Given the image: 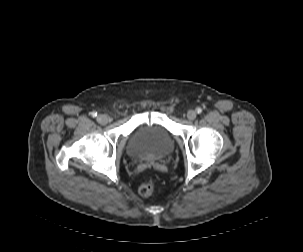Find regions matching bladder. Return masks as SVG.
<instances>
[{
  "mask_svg": "<svg viewBox=\"0 0 303 252\" xmlns=\"http://www.w3.org/2000/svg\"><path fill=\"white\" fill-rule=\"evenodd\" d=\"M172 135L162 126L146 125L134 132L126 145L128 156L150 161L168 156L174 150Z\"/></svg>",
  "mask_w": 303,
  "mask_h": 252,
  "instance_id": "1",
  "label": "bladder"
}]
</instances>
